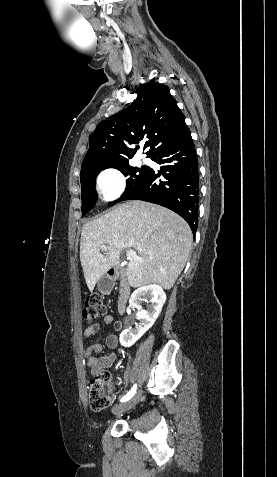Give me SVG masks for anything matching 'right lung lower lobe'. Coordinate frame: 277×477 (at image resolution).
I'll return each instance as SVG.
<instances>
[{"mask_svg":"<svg viewBox=\"0 0 277 477\" xmlns=\"http://www.w3.org/2000/svg\"><path fill=\"white\" fill-rule=\"evenodd\" d=\"M161 165L149 168L143 181L122 200H143L162 205L183 217L193 234L198 224L199 171L191 132L187 130L175 142L150 157Z\"/></svg>","mask_w":277,"mask_h":477,"instance_id":"1","label":"right lung lower lobe"}]
</instances>
